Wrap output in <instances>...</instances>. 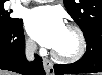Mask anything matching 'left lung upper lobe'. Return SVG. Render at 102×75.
Here are the masks:
<instances>
[{"label":"left lung upper lobe","mask_w":102,"mask_h":75,"mask_svg":"<svg viewBox=\"0 0 102 75\" xmlns=\"http://www.w3.org/2000/svg\"><path fill=\"white\" fill-rule=\"evenodd\" d=\"M64 5L84 34L102 29V0H64Z\"/></svg>","instance_id":"left-lung-upper-lobe-1"}]
</instances>
